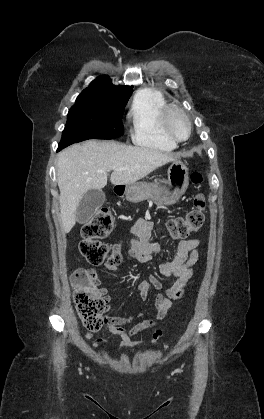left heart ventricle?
<instances>
[{"instance_id":"left-heart-ventricle-1","label":"left heart ventricle","mask_w":264,"mask_h":419,"mask_svg":"<svg viewBox=\"0 0 264 419\" xmlns=\"http://www.w3.org/2000/svg\"><path fill=\"white\" fill-rule=\"evenodd\" d=\"M169 125L174 135L177 136L178 138L182 139L187 136V133H188L187 125L185 121L179 115L173 114L170 117Z\"/></svg>"}]
</instances>
